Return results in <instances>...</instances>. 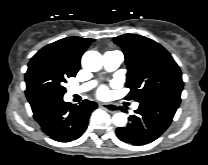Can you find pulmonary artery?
I'll use <instances>...</instances> for the list:
<instances>
[{"label":"pulmonary artery","mask_w":208,"mask_h":165,"mask_svg":"<svg viewBox=\"0 0 208 165\" xmlns=\"http://www.w3.org/2000/svg\"><path fill=\"white\" fill-rule=\"evenodd\" d=\"M122 61H123V55L119 51H108L103 56L104 67L108 71L116 70L121 65ZM93 86H94V82H88L81 87L71 89L70 92L73 94L82 93L91 89ZM138 106H139L138 103H134L133 109H137Z\"/></svg>","instance_id":"1"}]
</instances>
